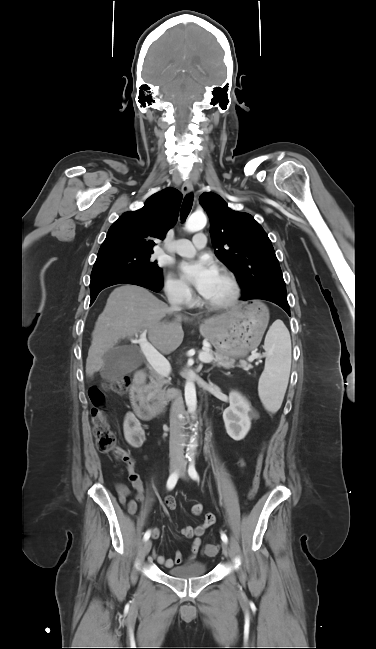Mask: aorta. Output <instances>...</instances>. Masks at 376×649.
Here are the masks:
<instances>
[{
    "mask_svg": "<svg viewBox=\"0 0 376 649\" xmlns=\"http://www.w3.org/2000/svg\"><path fill=\"white\" fill-rule=\"evenodd\" d=\"M207 223V218L202 212L193 213L186 222V230L189 232H197L202 230ZM185 401L188 409L195 412L197 406L196 388L194 381L188 379L185 384Z\"/></svg>",
    "mask_w": 376,
    "mask_h": 649,
    "instance_id": "obj_1",
    "label": "aorta"
}]
</instances>
